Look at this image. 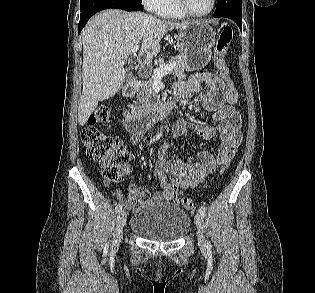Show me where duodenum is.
<instances>
[{
  "label": "duodenum",
  "instance_id": "obj_1",
  "mask_svg": "<svg viewBox=\"0 0 315 293\" xmlns=\"http://www.w3.org/2000/svg\"><path fill=\"white\" fill-rule=\"evenodd\" d=\"M137 88L135 81L127 84L123 89L125 98L134 95ZM176 104L175 96L167 100L159 101L142 113L125 114V127L132 134L142 133L146 131L153 123L167 116Z\"/></svg>",
  "mask_w": 315,
  "mask_h": 293
}]
</instances>
